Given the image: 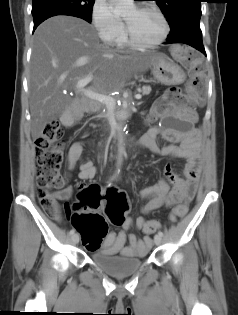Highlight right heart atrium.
Returning a JSON list of instances; mask_svg holds the SVG:
<instances>
[{"mask_svg":"<svg viewBox=\"0 0 238 315\" xmlns=\"http://www.w3.org/2000/svg\"><path fill=\"white\" fill-rule=\"evenodd\" d=\"M91 22L101 40L112 43L123 31L124 24L112 11L106 0H94Z\"/></svg>","mask_w":238,"mask_h":315,"instance_id":"1","label":"right heart atrium"}]
</instances>
